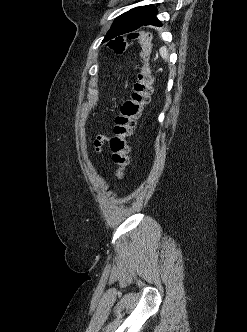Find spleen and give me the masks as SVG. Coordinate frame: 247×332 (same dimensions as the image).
Here are the masks:
<instances>
[{
    "instance_id": "obj_1",
    "label": "spleen",
    "mask_w": 247,
    "mask_h": 332,
    "mask_svg": "<svg viewBox=\"0 0 247 332\" xmlns=\"http://www.w3.org/2000/svg\"><path fill=\"white\" fill-rule=\"evenodd\" d=\"M159 52H160L161 57H162L165 61H167V60H168V56H169V53H168L167 48H166L165 46H164V47H161Z\"/></svg>"
}]
</instances>
